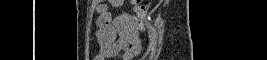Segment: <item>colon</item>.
I'll return each mask as SVG.
<instances>
[{
  "instance_id": "obj_1",
  "label": "colon",
  "mask_w": 267,
  "mask_h": 60,
  "mask_svg": "<svg viewBox=\"0 0 267 60\" xmlns=\"http://www.w3.org/2000/svg\"><path fill=\"white\" fill-rule=\"evenodd\" d=\"M134 4H136V10L139 13L140 16H143L146 11L148 10V3L149 1L146 0H133L131 1Z\"/></svg>"
}]
</instances>
